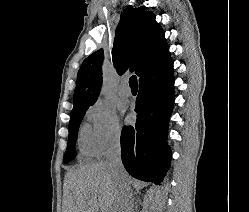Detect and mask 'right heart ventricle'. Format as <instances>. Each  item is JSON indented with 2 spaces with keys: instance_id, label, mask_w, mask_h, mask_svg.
<instances>
[{
  "instance_id": "right-heart-ventricle-1",
  "label": "right heart ventricle",
  "mask_w": 249,
  "mask_h": 212,
  "mask_svg": "<svg viewBox=\"0 0 249 212\" xmlns=\"http://www.w3.org/2000/svg\"><path fill=\"white\" fill-rule=\"evenodd\" d=\"M78 147L82 155L90 156L93 155L91 148L87 140V130L82 128L78 136Z\"/></svg>"
}]
</instances>
